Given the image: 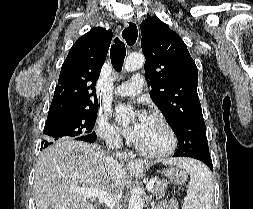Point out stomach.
<instances>
[{
	"mask_svg": "<svg viewBox=\"0 0 253 209\" xmlns=\"http://www.w3.org/2000/svg\"><path fill=\"white\" fill-rule=\"evenodd\" d=\"M160 176H165V171H160Z\"/></svg>",
	"mask_w": 253,
	"mask_h": 209,
	"instance_id": "0dacf381",
	"label": "stomach"
}]
</instances>
